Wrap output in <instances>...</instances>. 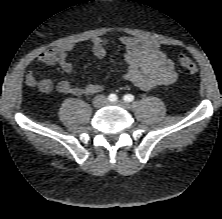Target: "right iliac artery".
Instances as JSON below:
<instances>
[{
  "instance_id": "obj_1",
  "label": "right iliac artery",
  "mask_w": 222,
  "mask_h": 219,
  "mask_svg": "<svg viewBox=\"0 0 222 219\" xmlns=\"http://www.w3.org/2000/svg\"><path fill=\"white\" fill-rule=\"evenodd\" d=\"M108 99H109V101L114 102L117 100V96L115 94H110Z\"/></svg>"
}]
</instances>
